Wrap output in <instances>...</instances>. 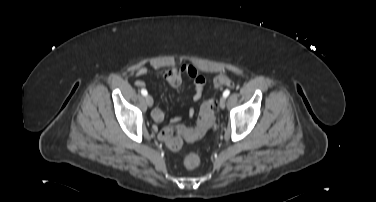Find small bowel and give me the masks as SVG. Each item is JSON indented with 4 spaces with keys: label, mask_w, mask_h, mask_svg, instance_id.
Here are the masks:
<instances>
[{
    "label": "small bowel",
    "mask_w": 376,
    "mask_h": 202,
    "mask_svg": "<svg viewBox=\"0 0 376 202\" xmlns=\"http://www.w3.org/2000/svg\"><path fill=\"white\" fill-rule=\"evenodd\" d=\"M148 74H153L159 77L164 78L167 82L174 88H178L182 84L183 77H188L192 79L194 84V93L192 95V99L194 101H198L203 92V88L205 85V79L203 76L199 75L197 70L191 65H182L181 67H169V68H161V67H152V68H140L136 71L135 75L137 79L135 80V85L137 87H144L145 82L140 78ZM195 114V110L193 108H189L187 110L188 117H193ZM152 118L155 122L161 123L164 120V113L162 109L156 105L152 110ZM181 121L180 117H173L171 118V123L177 124Z\"/></svg>",
    "instance_id": "small-bowel-1"
}]
</instances>
